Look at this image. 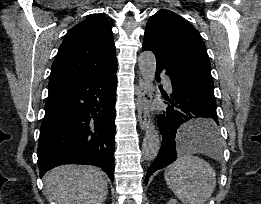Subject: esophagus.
<instances>
[{"label": "esophagus", "mask_w": 261, "mask_h": 204, "mask_svg": "<svg viewBox=\"0 0 261 204\" xmlns=\"http://www.w3.org/2000/svg\"><path fill=\"white\" fill-rule=\"evenodd\" d=\"M151 100L148 84L140 79L139 90L137 94V111L138 120L142 130L146 129L150 124V114L148 106Z\"/></svg>", "instance_id": "1"}]
</instances>
